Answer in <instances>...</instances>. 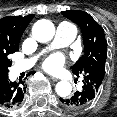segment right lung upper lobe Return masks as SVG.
Instances as JSON below:
<instances>
[{
    "label": "right lung upper lobe",
    "instance_id": "right-lung-upper-lobe-1",
    "mask_svg": "<svg viewBox=\"0 0 117 117\" xmlns=\"http://www.w3.org/2000/svg\"><path fill=\"white\" fill-rule=\"evenodd\" d=\"M33 17L34 15L30 14L24 17L7 16L0 19V62L19 50L20 38ZM6 76L7 74L0 72V81Z\"/></svg>",
    "mask_w": 117,
    "mask_h": 117
}]
</instances>
